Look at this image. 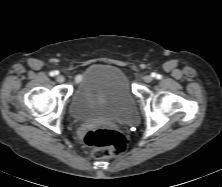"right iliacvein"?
Listing matches in <instances>:
<instances>
[{
	"instance_id": "1",
	"label": "right iliac vein",
	"mask_w": 222,
	"mask_h": 187,
	"mask_svg": "<svg viewBox=\"0 0 222 187\" xmlns=\"http://www.w3.org/2000/svg\"><path fill=\"white\" fill-rule=\"evenodd\" d=\"M56 81H57L58 83H62V82L65 81V78H64L63 75H57V77H56Z\"/></svg>"
}]
</instances>
